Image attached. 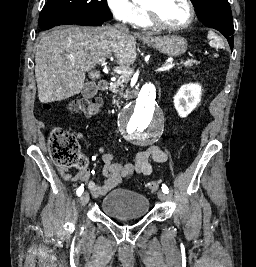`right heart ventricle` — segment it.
<instances>
[{"label":"right heart ventricle","instance_id":"right-heart-ventricle-1","mask_svg":"<svg viewBox=\"0 0 256 267\" xmlns=\"http://www.w3.org/2000/svg\"><path fill=\"white\" fill-rule=\"evenodd\" d=\"M139 4H140V5H142V4H143V2H142V1H139Z\"/></svg>","mask_w":256,"mask_h":267}]
</instances>
